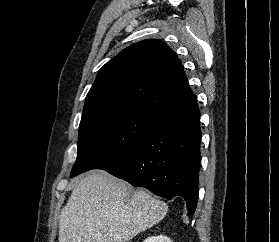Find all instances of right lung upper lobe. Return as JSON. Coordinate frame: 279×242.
Listing matches in <instances>:
<instances>
[{"label":"right lung upper lobe","mask_w":279,"mask_h":242,"mask_svg":"<svg viewBox=\"0 0 279 242\" xmlns=\"http://www.w3.org/2000/svg\"><path fill=\"white\" fill-rule=\"evenodd\" d=\"M196 100L174 51L156 39L130 45L106 63L86 96L82 117L103 111H162Z\"/></svg>","instance_id":"right-lung-upper-lobe-1"}]
</instances>
